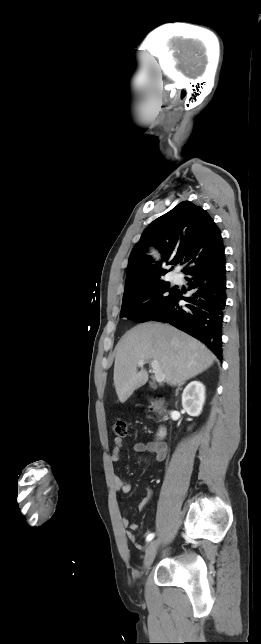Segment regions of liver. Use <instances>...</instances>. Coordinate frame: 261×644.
<instances>
[{"label": "liver", "instance_id": "obj_1", "mask_svg": "<svg viewBox=\"0 0 261 644\" xmlns=\"http://www.w3.org/2000/svg\"><path fill=\"white\" fill-rule=\"evenodd\" d=\"M139 360L159 362L164 381L180 385L208 369L214 354L201 342L167 324L146 322L129 330L116 346L114 386L121 403L148 381Z\"/></svg>", "mask_w": 261, "mask_h": 644}]
</instances>
